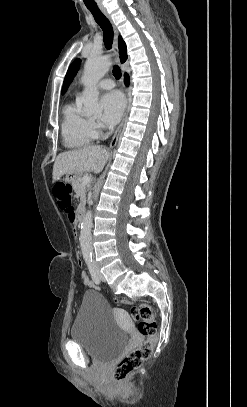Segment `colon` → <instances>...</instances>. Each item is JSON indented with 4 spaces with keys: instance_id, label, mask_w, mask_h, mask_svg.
I'll return each instance as SVG.
<instances>
[{
    "instance_id": "5ec220e1",
    "label": "colon",
    "mask_w": 247,
    "mask_h": 407,
    "mask_svg": "<svg viewBox=\"0 0 247 407\" xmlns=\"http://www.w3.org/2000/svg\"><path fill=\"white\" fill-rule=\"evenodd\" d=\"M53 194L58 199L60 209L66 215H70L74 211L71 186L64 182H56ZM118 301L123 304L132 303L127 297H122ZM131 315L138 322V330L146 339L138 348L126 354L113 369L112 376L118 382L125 380L151 356L157 340V323L151 304L141 303L132 307Z\"/></svg>"
}]
</instances>
